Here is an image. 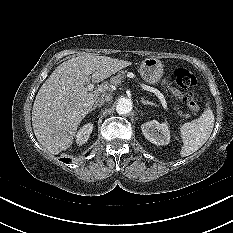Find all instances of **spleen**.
Returning <instances> with one entry per match:
<instances>
[{
  "label": "spleen",
  "mask_w": 233,
  "mask_h": 233,
  "mask_svg": "<svg viewBox=\"0 0 233 233\" xmlns=\"http://www.w3.org/2000/svg\"><path fill=\"white\" fill-rule=\"evenodd\" d=\"M214 114L209 101L201 116L180 127V135L183 146L180 151L182 157H186L200 149L209 139L214 127Z\"/></svg>",
  "instance_id": "obj_1"
}]
</instances>
